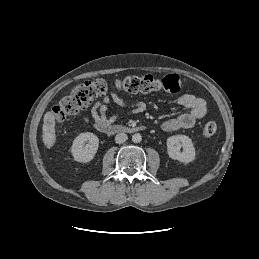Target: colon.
I'll return each instance as SVG.
<instances>
[{"instance_id":"1","label":"colon","mask_w":259,"mask_h":259,"mask_svg":"<svg viewBox=\"0 0 259 259\" xmlns=\"http://www.w3.org/2000/svg\"><path fill=\"white\" fill-rule=\"evenodd\" d=\"M184 88V85L175 74L156 77L151 74L136 76L131 75L123 79L116 80L112 84L103 79L85 81L76 86L68 95L63 97L53 108V117L57 122H63L69 117L79 114L89 104L97 98L106 95L108 90L116 89L128 93L147 94L155 91H164L167 93H178ZM217 132V126L214 122H207L202 129V135L205 138L213 137Z\"/></svg>"}]
</instances>
